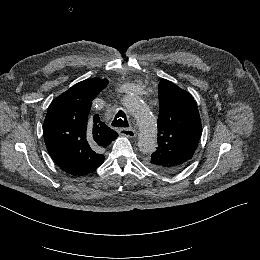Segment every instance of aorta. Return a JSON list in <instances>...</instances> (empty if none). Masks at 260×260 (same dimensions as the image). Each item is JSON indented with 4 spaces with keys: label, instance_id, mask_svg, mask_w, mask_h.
<instances>
[{
    "label": "aorta",
    "instance_id": "762f6f07",
    "mask_svg": "<svg viewBox=\"0 0 260 260\" xmlns=\"http://www.w3.org/2000/svg\"><path fill=\"white\" fill-rule=\"evenodd\" d=\"M123 105L137 120L140 134L138 147L143 154H151L157 147V119L150 112L145 102L135 94L123 98Z\"/></svg>",
    "mask_w": 260,
    "mask_h": 260
}]
</instances>
